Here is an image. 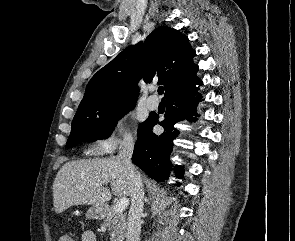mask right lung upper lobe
Instances as JSON below:
<instances>
[{"label": "right lung upper lobe", "instance_id": "1", "mask_svg": "<svg viewBox=\"0 0 295 241\" xmlns=\"http://www.w3.org/2000/svg\"><path fill=\"white\" fill-rule=\"evenodd\" d=\"M196 55L188 37L162 26L144 41L131 45L100 69L89 81L79 107L107 101H136L140 78L164 84L165 96L198 81Z\"/></svg>", "mask_w": 295, "mask_h": 241}]
</instances>
